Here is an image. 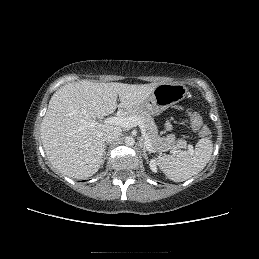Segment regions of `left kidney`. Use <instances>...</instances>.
Segmentation results:
<instances>
[{
  "label": "left kidney",
  "instance_id": "obj_1",
  "mask_svg": "<svg viewBox=\"0 0 259 259\" xmlns=\"http://www.w3.org/2000/svg\"><path fill=\"white\" fill-rule=\"evenodd\" d=\"M149 166H150V169L152 170V172L157 173V159L156 158L150 160Z\"/></svg>",
  "mask_w": 259,
  "mask_h": 259
}]
</instances>
